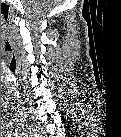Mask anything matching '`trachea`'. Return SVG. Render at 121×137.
I'll return each instance as SVG.
<instances>
[{"label":"trachea","mask_w":121,"mask_h":137,"mask_svg":"<svg viewBox=\"0 0 121 137\" xmlns=\"http://www.w3.org/2000/svg\"><path fill=\"white\" fill-rule=\"evenodd\" d=\"M1 14L3 17V25L5 27V29L7 30V32L12 35L13 32V22H12V18L10 15V11H9V6L4 4L1 7Z\"/></svg>","instance_id":"trachea-1"}]
</instances>
